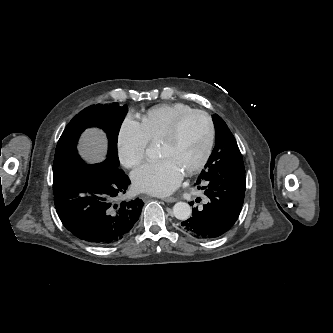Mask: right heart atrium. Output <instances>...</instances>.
<instances>
[{
  "label": "right heart atrium",
  "instance_id": "1",
  "mask_svg": "<svg viewBox=\"0 0 333 333\" xmlns=\"http://www.w3.org/2000/svg\"><path fill=\"white\" fill-rule=\"evenodd\" d=\"M149 138L142 124L127 115L118 130L116 147L120 162L126 168L136 167L145 157Z\"/></svg>",
  "mask_w": 333,
  "mask_h": 333
}]
</instances>
